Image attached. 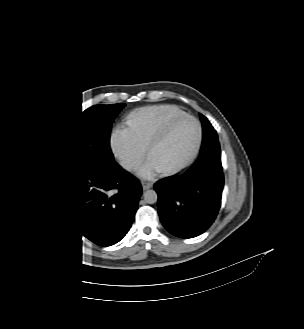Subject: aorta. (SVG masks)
<instances>
[{
	"mask_svg": "<svg viewBox=\"0 0 304 329\" xmlns=\"http://www.w3.org/2000/svg\"><path fill=\"white\" fill-rule=\"evenodd\" d=\"M144 201L148 204H154L157 202L158 195L155 190H147L143 194Z\"/></svg>",
	"mask_w": 304,
	"mask_h": 329,
	"instance_id": "obj_1",
	"label": "aorta"
}]
</instances>
